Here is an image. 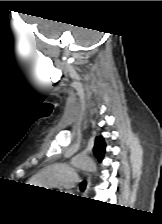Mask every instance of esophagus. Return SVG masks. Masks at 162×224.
<instances>
[{
  "label": "esophagus",
  "mask_w": 162,
  "mask_h": 224,
  "mask_svg": "<svg viewBox=\"0 0 162 224\" xmlns=\"http://www.w3.org/2000/svg\"><path fill=\"white\" fill-rule=\"evenodd\" d=\"M90 181H91V177H90V175H88V177H87V185H86V189H85V196L87 195V193L89 191Z\"/></svg>",
  "instance_id": "1"
}]
</instances>
